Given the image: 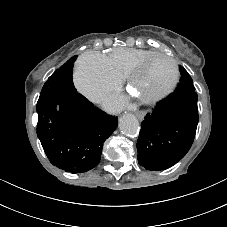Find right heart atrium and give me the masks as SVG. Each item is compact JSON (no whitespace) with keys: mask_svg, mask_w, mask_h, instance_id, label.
<instances>
[{"mask_svg":"<svg viewBox=\"0 0 227 227\" xmlns=\"http://www.w3.org/2000/svg\"><path fill=\"white\" fill-rule=\"evenodd\" d=\"M74 81L82 94L98 102L108 93L117 90L122 78L113 71L106 55L88 51L77 62Z\"/></svg>","mask_w":227,"mask_h":227,"instance_id":"1","label":"right heart atrium"}]
</instances>
